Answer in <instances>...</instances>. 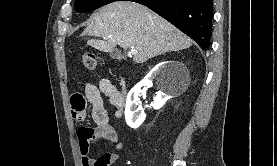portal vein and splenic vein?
<instances>
[{"label":"portal vein and splenic vein","instance_id":"18ae733b","mask_svg":"<svg viewBox=\"0 0 277 166\" xmlns=\"http://www.w3.org/2000/svg\"><path fill=\"white\" fill-rule=\"evenodd\" d=\"M130 53L132 54V55H135L136 53H137V51L135 50V49H131V51H130Z\"/></svg>","mask_w":277,"mask_h":166}]
</instances>
